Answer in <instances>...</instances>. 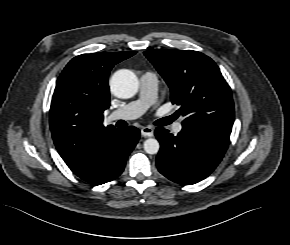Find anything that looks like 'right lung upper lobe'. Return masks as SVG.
<instances>
[{
    "mask_svg": "<svg viewBox=\"0 0 290 245\" xmlns=\"http://www.w3.org/2000/svg\"><path fill=\"white\" fill-rule=\"evenodd\" d=\"M132 52H100L73 58L60 74L50 107L54 144L70 169L86 164L117 130L103 125L109 107L108 76Z\"/></svg>",
    "mask_w": 290,
    "mask_h": 245,
    "instance_id": "right-lung-upper-lobe-1",
    "label": "right lung upper lobe"
}]
</instances>
